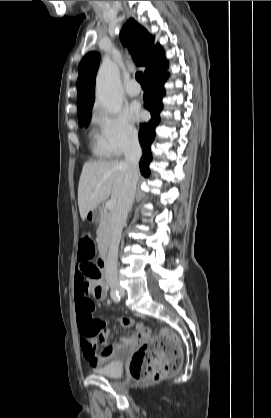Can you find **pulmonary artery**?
Masks as SVG:
<instances>
[{"label":"pulmonary artery","mask_w":271,"mask_h":418,"mask_svg":"<svg viewBox=\"0 0 271 418\" xmlns=\"http://www.w3.org/2000/svg\"><path fill=\"white\" fill-rule=\"evenodd\" d=\"M140 86L137 84L136 81L131 80L128 82L127 86H126V92L129 96L131 97H135L138 96L140 94Z\"/></svg>","instance_id":"obj_1"}]
</instances>
